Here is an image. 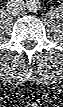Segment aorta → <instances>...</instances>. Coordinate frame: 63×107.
I'll return each instance as SVG.
<instances>
[{
  "instance_id": "obj_1",
  "label": "aorta",
  "mask_w": 63,
  "mask_h": 107,
  "mask_svg": "<svg viewBox=\"0 0 63 107\" xmlns=\"http://www.w3.org/2000/svg\"><path fill=\"white\" fill-rule=\"evenodd\" d=\"M26 7L29 11H37L39 8V1L38 0H28L26 2Z\"/></svg>"
}]
</instances>
